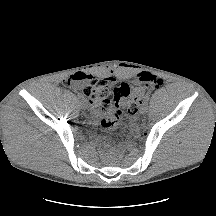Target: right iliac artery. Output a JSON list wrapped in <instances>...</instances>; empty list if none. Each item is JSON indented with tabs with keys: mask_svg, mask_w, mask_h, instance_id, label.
<instances>
[{
	"mask_svg": "<svg viewBox=\"0 0 216 216\" xmlns=\"http://www.w3.org/2000/svg\"><path fill=\"white\" fill-rule=\"evenodd\" d=\"M78 102L82 103L83 102V96H78Z\"/></svg>",
	"mask_w": 216,
	"mask_h": 216,
	"instance_id": "right-iliac-artery-1",
	"label": "right iliac artery"
}]
</instances>
